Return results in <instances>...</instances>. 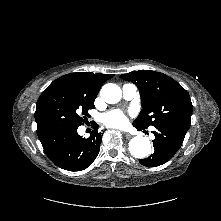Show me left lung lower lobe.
Returning <instances> with one entry per match:
<instances>
[{
	"label": "left lung lower lobe",
	"instance_id": "1",
	"mask_svg": "<svg viewBox=\"0 0 221 221\" xmlns=\"http://www.w3.org/2000/svg\"><path fill=\"white\" fill-rule=\"evenodd\" d=\"M135 126V125H134ZM138 130L142 128L135 126ZM152 133L154 153L148 158L140 159L139 162L147 167H157L169 161L181 147L187 130L175 126L155 127Z\"/></svg>",
	"mask_w": 221,
	"mask_h": 221
}]
</instances>
